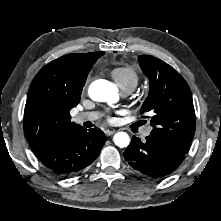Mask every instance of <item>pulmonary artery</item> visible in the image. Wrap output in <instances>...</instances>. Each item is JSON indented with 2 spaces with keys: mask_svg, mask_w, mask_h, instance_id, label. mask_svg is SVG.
<instances>
[{
  "mask_svg": "<svg viewBox=\"0 0 221 221\" xmlns=\"http://www.w3.org/2000/svg\"><path fill=\"white\" fill-rule=\"evenodd\" d=\"M122 93L124 95H127L130 93V91H122ZM99 117V113L97 112H85V113H79L77 115H75L74 117V121L78 124H82L84 122H92V121H95L97 120ZM151 132V128H147L145 129L144 131V136H148Z\"/></svg>",
  "mask_w": 221,
  "mask_h": 221,
  "instance_id": "e3ab8cb5",
  "label": "pulmonary artery"
}]
</instances>
